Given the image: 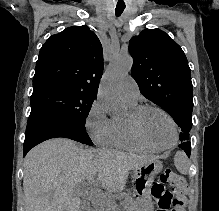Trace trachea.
I'll list each match as a JSON object with an SVG mask.
<instances>
[{
  "label": "trachea",
  "instance_id": "3493384b",
  "mask_svg": "<svg viewBox=\"0 0 219 211\" xmlns=\"http://www.w3.org/2000/svg\"><path fill=\"white\" fill-rule=\"evenodd\" d=\"M125 9V5H117L115 9L116 16L119 17Z\"/></svg>",
  "mask_w": 219,
  "mask_h": 211
}]
</instances>
